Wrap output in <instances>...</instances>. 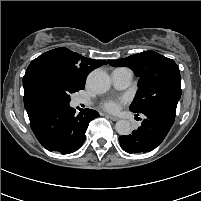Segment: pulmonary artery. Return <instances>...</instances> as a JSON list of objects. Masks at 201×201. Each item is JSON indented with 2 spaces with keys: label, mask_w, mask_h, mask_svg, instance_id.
<instances>
[{
  "label": "pulmonary artery",
  "mask_w": 201,
  "mask_h": 201,
  "mask_svg": "<svg viewBox=\"0 0 201 201\" xmlns=\"http://www.w3.org/2000/svg\"><path fill=\"white\" fill-rule=\"evenodd\" d=\"M132 78H133L132 71L128 68H125V67L116 68L111 73V79H112L113 85L117 89L127 88L131 84ZM77 103L78 104H85V105L89 104V102L84 100V99H79L77 101Z\"/></svg>",
  "instance_id": "obj_1"
}]
</instances>
